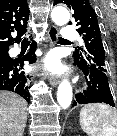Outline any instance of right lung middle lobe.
I'll list each match as a JSON object with an SVG mask.
<instances>
[{
	"label": "right lung middle lobe",
	"instance_id": "right-lung-middle-lobe-1",
	"mask_svg": "<svg viewBox=\"0 0 117 136\" xmlns=\"http://www.w3.org/2000/svg\"><path fill=\"white\" fill-rule=\"evenodd\" d=\"M2 58H9L8 52L0 53V59Z\"/></svg>",
	"mask_w": 117,
	"mask_h": 136
}]
</instances>
